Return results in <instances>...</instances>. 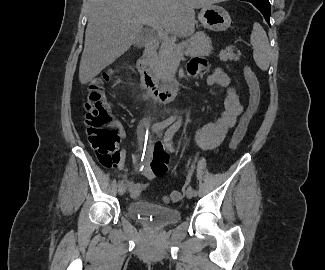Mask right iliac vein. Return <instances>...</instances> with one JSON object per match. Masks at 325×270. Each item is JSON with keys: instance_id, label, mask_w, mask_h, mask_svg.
<instances>
[{"instance_id": "right-iliac-vein-1", "label": "right iliac vein", "mask_w": 325, "mask_h": 270, "mask_svg": "<svg viewBox=\"0 0 325 270\" xmlns=\"http://www.w3.org/2000/svg\"><path fill=\"white\" fill-rule=\"evenodd\" d=\"M126 192V185L122 184L121 186L118 187V194L123 195Z\"/></svg>"}]
</instances>
